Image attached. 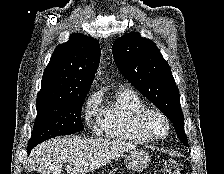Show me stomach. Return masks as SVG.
<instances>
[{
	"instance_id": "1",
	"label": "stomach",
	"mask_w": 224,
	"mask_h": 174,
	"mask_svg": "<svg viewBox=\"0 0 224 174\" xmlns=\"http://www.w3.org/2000/svg\"><path fill=\"white\" fill-rule=\"evenodd\" d=\"M149 162V154L141 149L129 151V153L125 156L126 167L133 171H142L148 166Z\"/></svg>"
}]
</instances>
